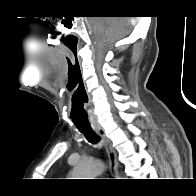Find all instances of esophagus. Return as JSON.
I'll return each instance as SVG.
<instances>
[{"instance_id": "obj_1", "label": "esophagus", "mask_w": 196, "mask_h": 196, "mask_svg": "<svg viewBox=\"0 0 196 196\" xmlns=\"http://www.w3.org/2000/svg\"><path fill=\"white\" fill-rule=\"evenodd\" d=\"M95 132L103 139L104 145L109 158L110 171L115 179L118 177V157L115 149L113 148L111 141L107 138L105 131L102 127H95Z\"/></svg>"}]
</instances>
